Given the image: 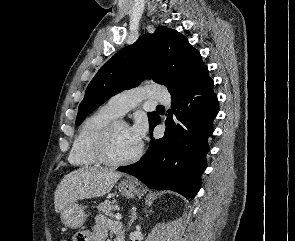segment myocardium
Listing matches in <instances>:
<instances>
[{
  "label": "myocardium",
  "mask_w": 295,
  "mask_h": 241,
  "mask_svg": "<svg viewBox=\"0 0 295 241\" xmlns=\"http://www.w3.org/2000/svg\"><path fill=\"white\" fill-rule=\"evenodd\" d=\"M118 124L126 125V123L123 121L113 120L105 128V130L103 131L101 137L99 138L96 144V148H95L96 156L98 160L100 161V163H103L107 166L118 167V166L129 165L139 160L143 154L144 147H143V144L140 143L136 153L128 158L114 159L111 156L110 146H111L114 131Z\"/></svg>",
  "instance_id": "1"
}]
</instances>
